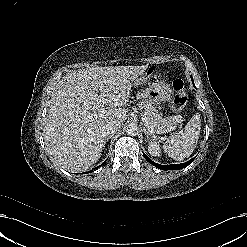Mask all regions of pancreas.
Wrapping results in <instances>:
<instances>
[{"mask_svg": "<svg viewBox=\"0 0 247 247\" xmlns=\"http://www.w3.org/2000/svg\"><path fill=\"white\" fill-rule=\"evenodd\" d=\"M139 108L148 119L147 128L154 133H162V131L172 128L175 124L173 117L162 118V114L150 103L140 104Z\"/></svg>", "mask_w": 247, "mask_h": 247, "instance_id": "cf45deb5", "label": "pancreas"}]
</instances>
